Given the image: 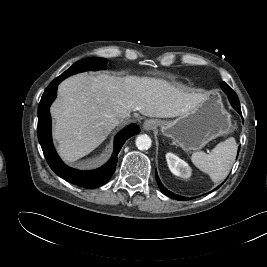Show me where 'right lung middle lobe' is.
<instances>
[{
    "label": "right lung middle lobe",
    "mask_w": 267,
    "mask_h": 267,
    "mask_svg": "<svg viewBox=\"0 0 267 267\" xmlns=\"http://www.w3.org/2000/svg\"><path fill=\"white\" fill-rule=\"evenodd\" d=\"M106 62L107 59L105 58H99V57L86 58L73 64L69 69H67L57 78L63 80L78 72H83L87 70L105 69Z\"/></svg>",
    "instance_id": "obj_1"
}]
</instances>
